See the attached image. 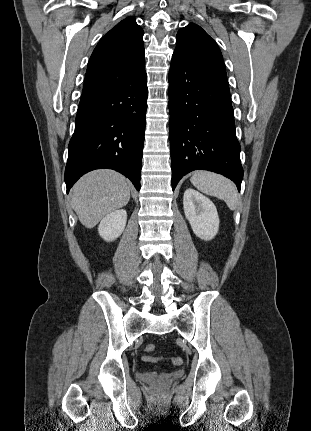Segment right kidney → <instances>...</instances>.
I'll use <instances>...</instances> for the list:
<instances>
[{"label":"right kidney","mask_w":311,"mask_h":431,"mask_svg":"<svg viewBox=\"0 0 311 431\" xmlns=\"http://www.w3.org/2000/svg\"><path fill=\"white\" fill-rule=\"evenodd\" d=\"M126 221V210H114V212L107 214V216L101 219L98 225V233L106 241H112V239H116L124 231Z\"/></svg>","instance_id":"ca27d5eb"}]
</instances>
